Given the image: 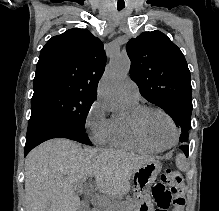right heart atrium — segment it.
<instances>
[{
  "label": "right heart atrium",
  "instance_id": "obj_1",
  "mask_svg": "<svg viewBox=\"0 0 219 211\" xmlns=\"http://www.w3.org/2000/svg\"><path fill=\"white\" fill-rule=\"evenodd\" d=\"M85 127L96 145L109 142L112 132V118L108 116L107 108L99 99L90 105L85 116Z\"/></svg>",
  "mask_w": 219,
  "mask_h": 211
}]
</instances>
